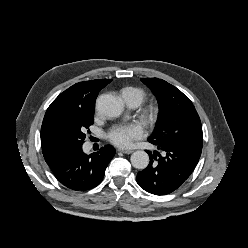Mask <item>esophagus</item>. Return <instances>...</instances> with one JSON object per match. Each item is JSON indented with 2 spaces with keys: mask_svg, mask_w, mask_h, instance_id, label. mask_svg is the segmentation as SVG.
Segmentation results:
<instances>
[{
  "mask_svg": "<svg viewBox=\"0 0 248 248\" xmlns=\"http://www.w3.org/2000/svg\"><path fill=\"white\" fill-rule=\"evenodd\" d=\"M118 151L124 153V154H131L133 150L131 149H118Z\"/></svg>",
  "mask_w": 248,
  "mask_h": 248,
  "instance_id": "34e87169",
  "label": "esophagus"
}]
</instances>
